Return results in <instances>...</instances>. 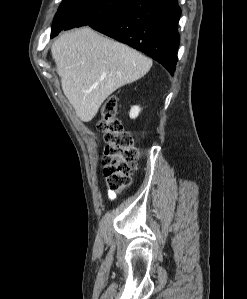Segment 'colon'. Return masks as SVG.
I'll list each match as a JSON object with an SVG mask.
<instances>
[{
  "label": "colon",
  "mask_w": 247,
  "mask_h": 299,
  "mask_svg": "<svg viewBox=\"0 0 247 299\" xmlns=\"http://www.w3.org/2000/svg\"><path fill=\"white\" fill-rule=\"evenodd\" d=\"M97 129L105 142L103 158L104 175L108 187L114 192L124 190L131 181L136 168L138 150L130 133L123 128L117 117V98L106 99L101 110Z\"/></svg>",
  "instance_id": "colon-1"
}]
</instances>
